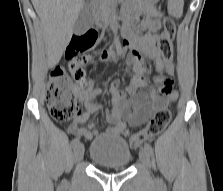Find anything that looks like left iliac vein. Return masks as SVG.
Masks as SVG:
<instances>
[{
    "label": "left iliac vein",
    "mask_w": 223,
    "mask_h": 191,
    "mask_svg": "<svg viewBox=\"0 0 223 191\" xmlns=\"http://www.w3.org/2000/svg\"><path fill=\"white\" fill-rule=\"evenodd\" d=\"M139 158L141 163L150 168V156L145 148H142L139 152Z\"/></svg>",
    "instance_id": "left-iliac-vein-1"
}]
</instances>
